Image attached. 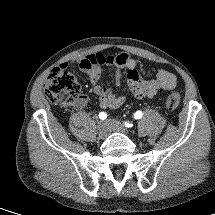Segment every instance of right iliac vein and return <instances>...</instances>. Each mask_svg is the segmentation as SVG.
I'll return each instance as SVG.
<instances>
[{"label":"right iliac vein","mask_w":215,"mask_h":215,"mask_svg":"<svg viewBox=\"0 0 215 215\" xmlns=\"http://www.w3.org/2000/svg\"><path fill=\"white\" fill-rule=\"evenodd\" d=\"M104 124V122H100V125H103Z\"/></svg>","instance_id":"1"}]
</instances>
